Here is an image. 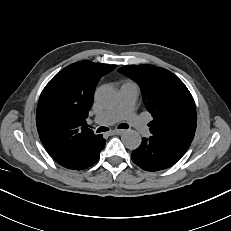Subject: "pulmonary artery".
Masks as SVG:
<instances>
[{"label": "pulmonary artery", "instance_id": "e3ab8cb5", "mask_svg": "<svg viewBox=\"0 0 231 231\" xmlns=\"http://www.w3.org/2000/svg\"><path fill=\"white\" fill-rule=\"evenodd\" d=\"M119 96L117 105L96 115L93 118V122L97 125L108 126L124 119L142 136L148 137L150 132L147 124L135 112L138 87L135 84H123L120 87Z\"/></svg>", "mask_w": 231, "mask_h": 231}]
</instances>
